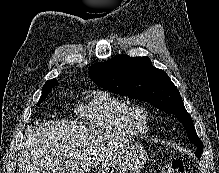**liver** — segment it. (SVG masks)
Wrapping results in <instances>:
<instances>
[{"mask_svg":"<svg viewBox=\"0 0 219 173\" xmlns=\"http://www.w3.org/2000/svg\"><path fill=\"white\" fill-rule=\"evenodd\" d=\"M123 144L93 128L65 122L28 126L17 173H85Z\"/></svg>","mask_w":219,"mask_h":173,"instance_id":"6515ba94","label":"liver"}]
</instances>
